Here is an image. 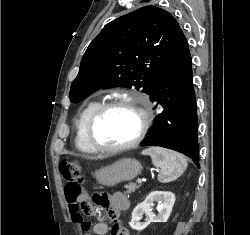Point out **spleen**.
Masks as SVG:
<instances>
[{
  "mask_svg": "<svg viewBox=\"0 0 250 235\" xmlns=\"http://www.w3.org/2000/svg\"><path fill=\"white\" fill-rule=\"evenodd\" d=\"M149 155L154 166L160 168L158 180L161 183L171 182L180 177L187 168V160L181 154L161 147H151L142 151Z\"/></svg>",
  "mask_w": 250,
  "mask_h": 235,
  "instance_id": "1",
  "label": "spleen"
}]
</instances>
